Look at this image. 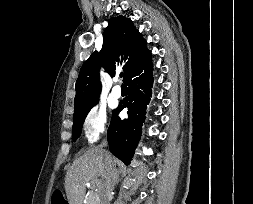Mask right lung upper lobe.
Wrapping results in <instances>:
<instances>
[{
  "label": "right lung upper lobe",
  "instance_id": "cb5924a9",
  "mask_svg": "<svg viewBox=\"0 0 253 204\" xmlns=\"http://www.w3.org/2000/svg\"><path fill=\"white\" fill-rule=\"evenodd\" d=\"M149 51L146 41L131 19L118 16L109 20L103 34V46L83 64L76 81L75 112L98 101L101 87L98 83L102 66L111 76L121 67L124 79L142 62Z\"/></svg>",
  "mask_w": 253,
  "mask_h": 204
}]
</instances>
